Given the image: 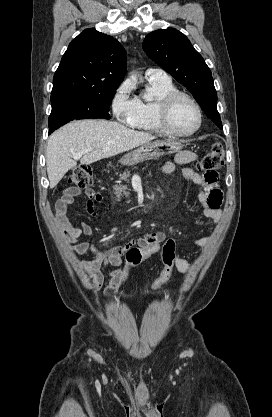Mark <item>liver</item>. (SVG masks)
I'll return each mask as SVG.
<instances>
[{
	"instance_id": "obj_1",
	"label": "liver",
	"mask_w": 272,
	"mask_h": 417,
	"mask_svg": "<svg viewBox=\"0 0 272 417\" xmlns=\"http://www.w3.org/2000/svg\"><path fill=\"white\" fill-rule=\"evenodd\" d=\"M154 139L156 136L150 133L129 129L113 121L90 119L70 122L48 139L46 167L50 188H54L70 169L77 166L71 158L73 153L89 149L80 160L82 165H87Z\"/></svg>"
}]
</instances>
